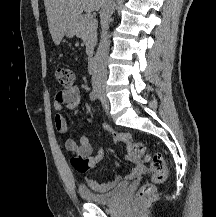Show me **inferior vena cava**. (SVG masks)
Listing matches in <instances>:
<instances>
[{"label":"inferior vena cava","mask_w":216,"mask_h":217,"mask_svg":"<svg viewBox=\"0 0 216 217\" xmlns=\"http://www.w3.org/2000/svg\"><path fill=\"white\" fill-rule=\"evenodd\" d=\"M114 11V1L104 0L100 11L101 40L96 52L92 73V86H104L107 79V58L109 51V21Z\"/></svg>","instance_id":"obj_1"}]
</instances>
